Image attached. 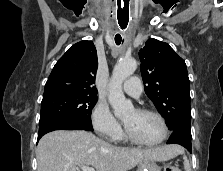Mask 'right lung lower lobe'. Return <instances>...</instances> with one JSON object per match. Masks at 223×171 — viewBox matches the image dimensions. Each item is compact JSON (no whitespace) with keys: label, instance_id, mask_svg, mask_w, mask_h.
I'll return each mask as SVG.
<instances>
[{"label":"right lung lower lobe","instance_id":"obj_1","mask_svg":"<svg viewBox=\"0 0 223 171\" xmlns=\"http://www.w3.org/2000/svg\"><path fill=\"white\" fill-rule=\"evenodd\" d=\"M60 129L93 131L92 124L84 123L75 118H57L39 125L38 140L44 134Z\"/></svg>","mask_w":223,"mask_h":171}]
</instances>
